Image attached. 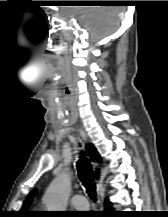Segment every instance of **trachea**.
<instances>
[{
  "instance_id": "trachea-1",
  "label": "trachea",
  "mask_w": 168,
  "mask_h": 217,
  "mask_svg": "<svg viewBox=\"0 0 168 217\" xmlns=\"http://www.w3.org/2000/svg\"><path fill=\"white\" fill-rule=\"evenodd\" d=\"M77 169H78V175L79 178L86 188V192L88 196L93 200H97L96 195V187L94 184V178H93V170L91 163L87 158L81 155L80 159L77 162Z\"/></svg>"
}]
</instances>
